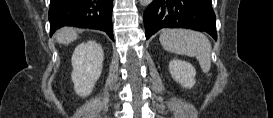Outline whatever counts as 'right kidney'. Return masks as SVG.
<instances>
[{
    "mask_svg": "<svg viewBox=\"0 0 273 118\" xmlns=\"http://www.w3.org/2000/svg\"><path fill=\"white\" fill-rule=\"evenodd\" d=\"M104 52L101 45L95 41L79 44L72 55L71 74L75 92L81 96H88L102 73Z\"/></svg>",
    "mask_w": 273,
    "mask_h": 118,
    "instance_id": "obj_1",
    "label": "right kidney"
}]
</instances>
